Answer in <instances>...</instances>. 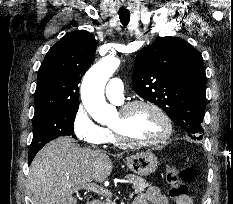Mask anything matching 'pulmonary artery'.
Wrapping results in <instances>:
<instances>
[{
	"label": "pulmonary artery",
	"instance_id": "pulmonary-artery-1",
	"mask_svg": "<svg viewBox=\"0 0 233 204\" xmlns=\"http://www.w3.org/2000/svg\"><path fill=\"white\" fill-rule=\"evenodd\" d=\"M105 94L108 99L115 103H121L124 98V85L121 79L112 78L105 87Z\"/></svg>",
	"mask_w": 233,
	"mask_h": 204
}]
</instances>
